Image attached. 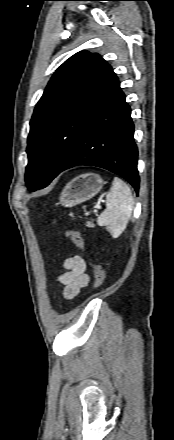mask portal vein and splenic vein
<instances>
[{"label": "portal vein and splenic vein", "mask_w": 174, "mask_h": 440, "mask_svg": "<svg viewBox=\"0 0 174 440\" xmlns=\"http://www.w3.org/2000/svg\"><path fill=\"white\" fill-rule=\"evenodd\" d=\"M98 209H101V207L100 206H95L94 211L97 212Z\"/></svg>", "instance_id": "18ae733b"}]
</instances>
